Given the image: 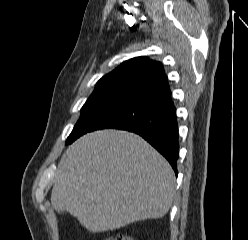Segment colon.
<instances>
[{"label":"colon","mask_w":248,"mask_h":240,"mask_svg":"<svg viewBox=\"0 0 248 240\" xmlns=\"http://www.w3.org/2000/svg\"><path fill=\"white\" fill-rule=\"evenodd\" d=\"M104 240H133V238L128 234H118L114 237H108Z\"/></svg>","instance_id":"5ec220e1"}]
</instances>
